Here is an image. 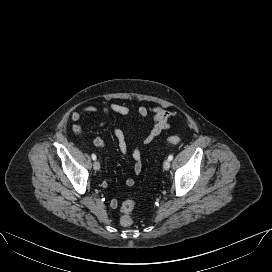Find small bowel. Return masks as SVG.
Wrapping results in <instances>:
<instances>
[{"label":"small bowel","instance_id":"1","mask_svg":"<svg viewBox=\"0 0 272 272\" xmlns=\"http://www.w3.org/2000/svg\"><path fill=\"white\" fill-rule=\"evenodd\" d=\"M99 109L95 106H87L81 110L75 111L72 113L71 118L73 121H79L83 116L86 115H96L98 114ZM102 112L105 116V119L100 122L101 126H107L110 124L111 115H122V116H131L132 111L128 107L121 104H111L108 107H103ZM137 114L140 118L145 119L152 114L153 117V126L148 132V134L142 139V144H150L156 137H158L163 131L169 129L170 118L174 115L172 112L167 109L154 105L151 107L140 106L137 110ZM113 135L117 140L119 151L122 154H127L128 145L126 142L125 134L120 128H113ZM93 144L95 147L102 149L105 147V141L101 137H95L93 139ZM132 157L134 160V173L139 175L142 172V155L139 148H134L132 151ZM125 184L128 187H132L135 184V180L133 178H127ZM103 187H106L107 184L103 183ZM118 206V201L116 199H112L110 201V207L115 209Z\"/></svg>","mask_w":272,"mask_h":272}]
</instances>
